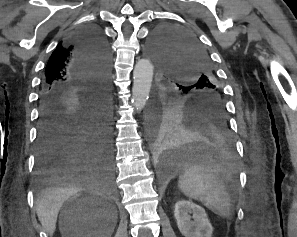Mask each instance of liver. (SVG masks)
Returning <instances> with one entry per match:
<instances>
[{"label":"liver","instance_id":"liver-1","mask_svg":"<svg viewBox=\"0 0 297 237\" xmlns=\"http://www.w3.org/2000/svg\"><path fill=\"white\" fill-rule=\"evenodd\" d=\"M91 179L88 175L68 174L59 178L57 185L46 190L36 203V213L44 231L53 236L60 208L69 198L76 196Z\"/></svg>","mask_w":297,"mask_h":237}]
</instances>
